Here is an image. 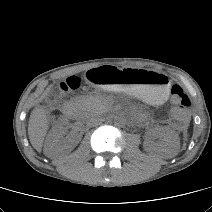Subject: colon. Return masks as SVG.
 Returning a JSON list of instances; mask_svg holds the SVG:
<instances>
[{"instance_id":"obj_1","label":"colon","mask_w":212,"mask_h":212,"mask_svg":"<svg viewBox=\"0 0 212 212\" xmlns=\"http://www.w3.org/2000/svg\"><path fill=\"white\" fill-rule=\"evenodd\" d=\"M82 83L83 78L81 76H71L61 83L60 88L64 92L75 91L80 88ZM170 100L173 117L181 123L186 122L191 111V100L180 85L172 87Z\"/></svg>"}]
</instances>
